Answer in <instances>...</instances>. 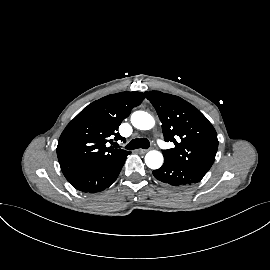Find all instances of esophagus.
<instances>
[{"label": "esophagus", "instance_id": "34e87169", "mask_svg": "<svg viewBox=\"0 0 270 270\" xmlns=\"http://www.w3.org/2000/svg\"><path fill=\"white\" fill-rule=\"evenodd\" d=\"M138 152L140 154H145L147 152V150L146 149H138Z\"/></svg>", "mask_w": 270, "mask_h": 270}]
</instances>
